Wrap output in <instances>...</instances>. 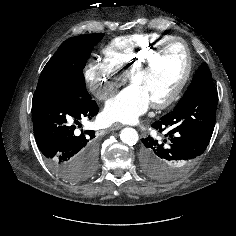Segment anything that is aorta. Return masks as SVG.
Instances as JSON below:
<instances>
[{
  "mask_svg": "<svg viewBox=\"0 0 236 236\" xmlns=\"http://www.w3.org/2000/svg\"><path fill=\"white\" fill-rule=\"evenodd\" d=\"M120 139L124 144L133 146L139 140L138 132L130 127L124 128L120 133Z\"/></svg>",
  "mask_w": 236,
  "mask_h": 236,
  "instance_id": "obj_1",
  "label": "aorta"
}]
</instances>
